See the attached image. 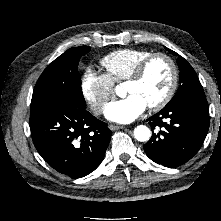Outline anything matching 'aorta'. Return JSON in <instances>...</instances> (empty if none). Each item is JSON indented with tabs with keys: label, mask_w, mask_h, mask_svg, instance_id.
Instances as JSON below:
<instances>
[{
	"label": "aorta",
	"mask_w": 221,
	"mask_h": 221,
	"mask_svg": "<svg viewBox=\"0 0 221 221\" xmlns=\"http://www.w3.org/2000/svg\"><path fill=\"white\" fill-rule=\"evenodd\" d=\"M134 137L140 142H146L151 137V131L147 126L139 125L134 129Z\"/></svg>",
	"instance_id": "obj_1"
}]
</instances>
